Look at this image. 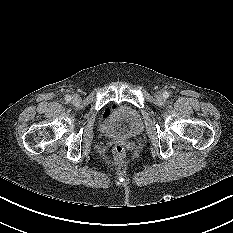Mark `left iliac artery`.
Instances as JSON below:
<instances>
[{
    "label": "left iliac artery",
    "mask_w": 233,
    "mask_h": 233,
    "mask_svg": "<svg viewBox=\"0 0 233 233\" xmlns=\"http://www.w3.org/2000/svg\"><path fill=\"white\" fill-rule=\"evenodd\" d=\"M163 97H164L165 99H167V98L169 97V93H168V92H164V93H163Z\"/></svg>",
    "instance_id": "1"
}]
</instances>
